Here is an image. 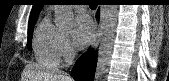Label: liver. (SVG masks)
<instances>
[{"label": "liver", "instance_id": "obj_1", "mask_svg": "<svg viewBox=\"0 0 169 81\" xmlns=\"http://www.w3.org/2000/svg\"><path fill=\"white\" fill-rule=\"evenodd\" d=\"M24 73V81H72L71 77L62 71H42L33 65L26 66Z\"/></svg>", "mask_w": 169, "mask_h": 81}]
</instances>
